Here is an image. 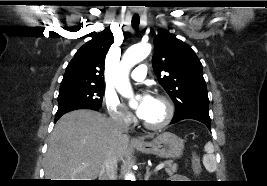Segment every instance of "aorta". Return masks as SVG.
<instances>
[{"label":"aorta","instance_id":"762f6f07","mask_svg":"<svg viewBox=\"0 0 267 186\" xmlns=\"http://www.w3.org/2000/svg\"><path fill=\"white\" fill-rule=\"evenodd\" d=\"M151 52L150 44H136L130 47L124 54L117 69L116 89L125 97L132 96V88L129 82L128 74L130 69L137 63L144 60ZM125 180L135 181L133 174H127Z\"/></svg>","mask_w":267,"mask_h":186}]
</instances>
